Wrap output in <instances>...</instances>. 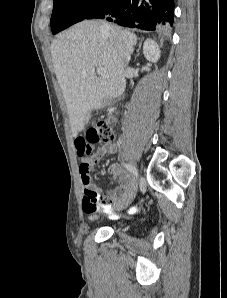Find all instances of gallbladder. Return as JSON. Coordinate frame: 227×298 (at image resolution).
<instances>
[{
  "mask_svg": "<svg viewBox=\"0 0 227 298\" xmlns=\"http://www.w3.org/2000/svg\"><path fill=\"white\" fill-rule=\"evenodd\" d=\"M89 118H90V114H88V115L86 116V118H85V123L88 122Z\"/></svg>",
  "mask_w": 227,
  "mask_h": 298,
  "instance_id": "bac80fb5",
  "label": "gallbladder"
}]
</instances>
